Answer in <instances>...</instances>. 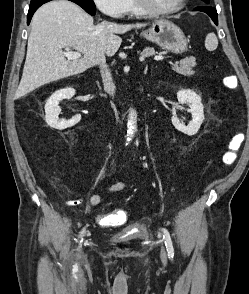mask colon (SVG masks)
Listing matches in <instances>:
<instances>
[{"label":"colon","mask_w":249,"mask_h":294,"mask_svg":"<svg viewBox=\"0 0 249 294\" xmlns=\"http://www.w3.org/2000/svg\"><path fill=\"white\" fill-rule=\"evenodd\" d=\"M223 82L225 84V86L228 88V89H234L235 86H234V83H233V80L230 76H225L224 79H223ZM242 138H241V135L240 134H236L232 141H231V144H230V147H231V150L226 152L224 155H223V163L225 165H230L233 160H234V157H235V151L238 149L239 145H240V142H241Z\"/></svg>","instance_id":"1"}]
</instances>
